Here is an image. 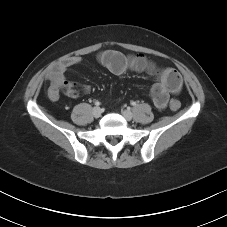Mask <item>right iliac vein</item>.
<instances>
[{"label":"right iliac vein","mask_w":227,"mask_h":227,"mask_svg":"<svg viewBox=\"0 0 227 227\" xmlns=\"http://www.w3.org/2000/svg\"><path fill=\"white\" fill-rule=\"evenodd\" d=\"M92 113L95 118H98L101 116L102 111L99 107H94Z\"/></svg>","instance_id":"1"}]
</instances>
